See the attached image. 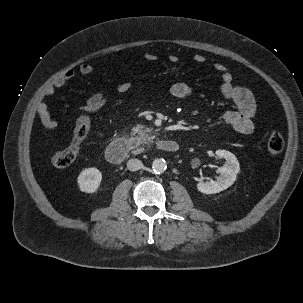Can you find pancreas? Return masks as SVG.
<instances>
[{
  "mask_svg": "<svg viewBox=\"0 0 303 303\" xmlns=\"http://www.w3.org/2000/svg\"><path fill=\"white\" fill-rule=\"evenodd\" d=\"M131 135L134 136L131 139L133 147L149 144L153 140L152 129H144L143 125L140 124L132 128Z\"/></svg>",
  "mask_w": 303,
  "mask_h": 303,
  "instance_id": "cf45deb5",
  "label": "pancreas"
}]
</instances>
